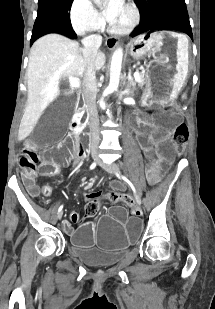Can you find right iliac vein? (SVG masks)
<instances>
[{"label": "right iliac vein", "mask_w": 215, "mask_h": 309, "mask_svg": "<svg viewBox=\"0 0 215 309\" xmlns=\"http://www.w3.org/2000/svg\"><path fill=\"white\" fill-rule=\"evenodd\" d=\"M62 215H63V211L59 212V213L57 214V219H61Z\"/></svg>", "instance_id": "1"}]
</instances>
